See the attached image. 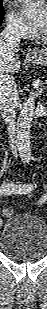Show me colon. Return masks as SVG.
Masks as SVG:
<instances>
[{
    "label": "colon",
    "instance_id": "obj_1",
    "mask_svg": "<svg viewBox=\"0 0 47 309\" xmlns=\"http://www.w3.org/2000/svg\"><path fill=\"white\" fill-rule=\"evenodd\" d=\"M3 215L6 216V217H10L13 215V211L9 208H6L3 210Z\"/></svg>",
    "mask_w": 47,
    "mask_h": 309
}]
</instances>
